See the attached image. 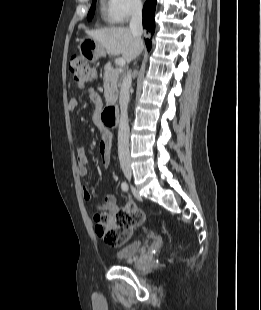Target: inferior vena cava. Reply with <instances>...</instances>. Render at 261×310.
<instances>
[{"instance_id": "inferior-vena-cava-1", "label": "inferior vena cava", "mask_w": 261, "mask_h": 310, "mask_svg": "<svg viewBox=\"0 0 261 310\" xmlns=\"http://www.w3.org/2000/svg\"><path fill=\"white\" fill-rule=\"evenodd\" d=\"M130 31L133 36L142 41L141 36L143 33L142 27V4L137 2L132 10V17L130 21ZM132 83L131 72L129 71L122 82L119 104H120V122L118 130V155L120 165L122 167H130V151H129V121L127 114V107L129 103V89Z\"/></svg>"}]
</instances>
